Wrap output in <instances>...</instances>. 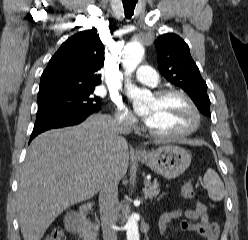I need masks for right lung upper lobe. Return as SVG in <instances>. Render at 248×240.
Segmentation results:
<instances>
[{"label":"right lung upper lobe","mask_w":248,"mask_h":240,"mask_svg":"<svg viewBox=\"0 0 248 240\" xmlns=\"http://www.w3.org/2000/svg\"><path fill=\"white\" fill-rule=\"evenodd\" d=\"M103 44L96 29L68 38L44 70L38 96L94 88L101 82Z\"/></svg>","instance_id":"1"}]
</instances>
